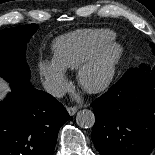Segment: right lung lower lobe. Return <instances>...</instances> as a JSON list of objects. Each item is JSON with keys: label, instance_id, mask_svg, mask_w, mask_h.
I'll return each instance as SVG.
<instances>
[{"label": "right lung lower lobe", "instance_id": "obj_1", "mask_svg": "<svg viewBox=\"0 0 155 155\" xmlns=\"http://www.w3.org/2000/svg\"><path fill=\"white\" fill-rule=\"evenodd\" d=\"M12 90L0 102V155H53L66 109L50 94L30 85Z\"/></svg>", "mask_w": 155, "mask_h": 155}]
</instances>
